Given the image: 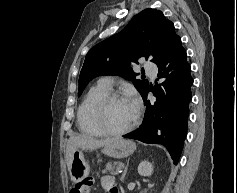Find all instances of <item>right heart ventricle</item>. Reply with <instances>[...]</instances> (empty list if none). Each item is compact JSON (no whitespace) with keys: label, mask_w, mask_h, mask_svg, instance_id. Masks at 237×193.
I'll list each match as a JSON object with an SVG mask.
<instances>
[{"label":"right heart ventricle","mask_w":237,"mask_h":193,"mask_svg":"<svg viewBox=\"0 0 237 193\" xmlns=\"http://www.w3.org/2000/svg\"><path fill=\"white\" fill-rule=\"evenodd\" d=\"M109 87L99 83L90 88L84 96L77 111V125L81 133L99 137L103 134L96 128L92 121V109L96 101L109 91Z\"/></svg>","instance_id":"right-heart-ventricle-1"}]
</instances>
